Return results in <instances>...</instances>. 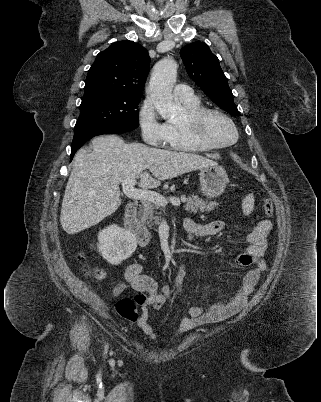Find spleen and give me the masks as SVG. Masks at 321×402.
Masks as SVG:
<instances>
[{"instance_id": "obj_1", "label": "spleen", "mask_w": 321, "mask_h": 402, "mask_svg": "<svg viewBox=\"0 0 321 402\" xmlns=\"http://www.w3.org/2000/svg\"><path fill=\"white\" fill-rule=\"evenodd\" d=\"M254 209V196L248 194L242 201L243 214L248 216Z\"/></svg>"}]
</instances>
